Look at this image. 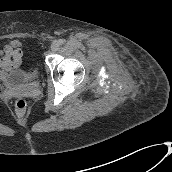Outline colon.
Instances as JSON below:
<instances>
[{"instance_id": "5ec220e1", "label": "colon", "mask_w": 172, "mask_h": 172, "mask_svg": "<svg viewBox=\"0 0 172 172\" xmlns=\"http://www.w3.org/2000/svg\"><path fill=\"white\" fill-rule=\"evenodd\" d=\"M27 107V103L23 98H18L15 101V109L20 112L23 113L26 110Z\"/></svg>"}]
</instances>
